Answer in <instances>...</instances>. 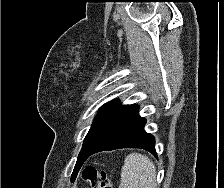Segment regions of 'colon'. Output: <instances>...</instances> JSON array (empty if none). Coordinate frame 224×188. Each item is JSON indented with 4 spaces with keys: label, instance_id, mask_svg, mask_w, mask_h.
<instances>
[{
    "label": "colon",
    "instance_id": "obj_1",
    "mask_svg": "<svg viewBox=\"0 0 224 188\" xmlns=\"http://www.w3.org/2000/svg\"><path fill=\"white\" fill-rule=\"evenodd\" d=\"M82 178L91 188H112L105 173H98L94 167L85 168Z\"/></svg>",
    "mask_w": 224,
    "mask_h": 188
}]
</instances>
